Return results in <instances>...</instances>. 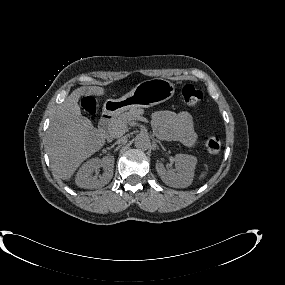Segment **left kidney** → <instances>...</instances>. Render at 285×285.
<instances>
[{
    "label": "left kidney",
    "instance_id": "5707ae66",
    "mask_svg": "<svg viewBox=\"0 0 285 285\" xmlns=\"http://www.w3.org/2000/svg\"><path fill=\"white\" fill-rule=\"evenodd\" d=\"M197 158L187 154L175 155V166L177 174L167 171L161 162L156 164V170L162 181L174 188H186L191 185Z\"/></svg>",
    "mask_w": 285,
    "mask_h": 285
}]
</instances>
